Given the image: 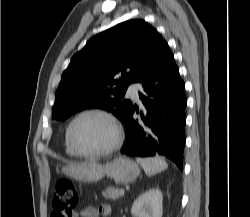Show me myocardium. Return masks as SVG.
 Returning <instances> with one entry per match:
<instances>
[{"instance_id": "f54148a6", "label": "myocardium", "mask_w": 250, "mask_h": 217, "mask_svg": "<svg viewBox=\"0 0 250 217\" xmlns=\"http://www.w3.org/2000/svg\"><path fill=\"white\" fill-rule=\"evenodd\" d=\"M88 115H98V116L105 118L111 125L112 132H113V138H112V142L110 143V145L104 148L103 150L93 152V153L82 152L81 150H79L77 146L75 145L73 138H72L73 127L76 124V122L80 120L81 118L88 116ZM123 136L124 135H123L122 126L119 120L116 118V116L109 110L100 108V107H91V108H87V109L80 111L69 122L67 130H66V139L72 151L76 154V156H79L82 158H88V159H97V158H101V157H105V156L113 154L115 151H117L120 148L122 141H123Z\"/></svg>"}]
</instances>
